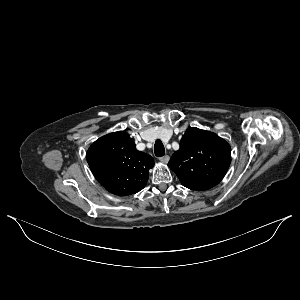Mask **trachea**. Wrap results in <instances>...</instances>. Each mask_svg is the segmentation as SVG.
<instances>
[{
	"mask_svg": "<svg viewBox=\"0 0 300 300\" xmlns=\"http://www.w3.org/2000/svg\"><path fill=\"white\" fill-rule=\"evenodd\" d=\"M154 153L157 157H162L165 154L164 146L161 142V140H156L155 146H154Z\"/></svg>",
	"mask_w": 300,
	"mask_h": 300,
	"instance_id": "1",
	"label": "trachea"
}]
</instances>
